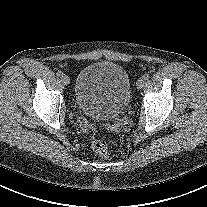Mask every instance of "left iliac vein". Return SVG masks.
Returning a JSON list of instances; mask_svg holds the SVG:
<instances>
[{
    "label": "left iliac vein",
    "mask_w": 207,
    "mask_h": 207,
    "mask_svg": "<svg viewBox=\"0 0 207 207\" xmlns=\"http://www.w3.org/2000/svg\"><path fill=\"white\" fill-rule=\"evenodd\" d=\"M136 85H137V88H138V89L143 88V86L145 85V79H144V78H140V79H138Z\"/></svg>",
    "instance_id": "1"
}]
</instances>
